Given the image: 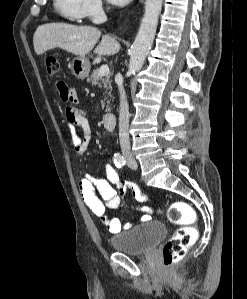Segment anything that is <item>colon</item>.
<instances>
[{
  "label": "colon",
  "instance_id": "5ec220e1",
  "mask_svg": "<svg viewBox=\"0 0 247 299\" xmlns=\"http://www.w3.org/2000/svg\"><path fill=\"white\" fill-rule=\"evenodd\" d=\"M45 65L48 74L54 75L59 71L58 58L48 54L45 58ZM131 190L141 196L140 189L131 183ZM167 218L170 223L177 225L173 235L167 240L163 247V262L166 267H171L180 261L186 254L187 249L195 242L198 232L195 223V212L185 202H174L167 210Z\"/></svg>",
  "mask_w": 247,
  "mask_h": 299
}]
</instances>
